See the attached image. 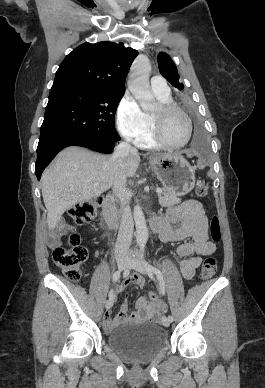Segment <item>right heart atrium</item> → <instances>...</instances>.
Returning <instances> with one entry per match:
<instances>
[{"instance_id":"obj_1","label":"right heart atrium","mask_w":265,"mask_h":388,"mask_svg":"<svg viewBox=\"0 0 265 388\" xmlns=\"http://www.w3.org/2000/svg\"><path fill=\"white\" fill-rule=\"evenodd\" d=\"M118 121L123 135L131 140L143 137L150 127L149 116L130 95H126L119 104Z\"/></svg>"}]
</instances>
